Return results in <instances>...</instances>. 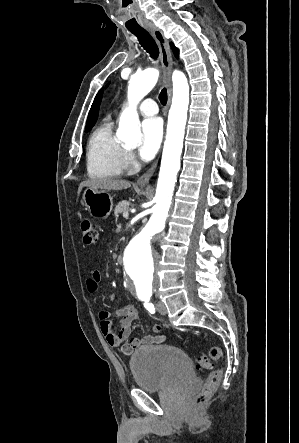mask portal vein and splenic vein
Segmentation results:
<instances>
[{"label":"portal vein and splenic vein","mask_w":299,"mask_h":443,"mask_svg":"<svg viewBox=\"0 0 299 443\" xmlns=\"http://www.w3.org/2000/svg\"><path fill=\"white\" fill-rule=\"evenodd\" d=\"M128 216H129V213H128V212H124V213H123V217H124V218H128Z\"/></svg>","instance_id":"obj_1"}]
</instances>
